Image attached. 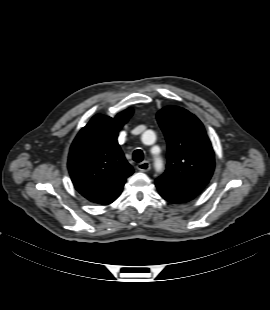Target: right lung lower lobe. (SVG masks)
<instances>
[{"mask_svg": "<svg viewBox=\"0 0 270 310\" xmlns=\"http://www.w3.org/2000/svg\"><path fill=\"white\" fill-rule=\"evenodd\" d=\"M115 199H116V198H115ZM115 199H114V200H115ZM114 200H112V201H110V202H108V203H106V204H104V205L110 204V203H112Z\"/></svg>", "mask_w": 270, "mask_h": 310, "instance_id": "obj_1", "label": "right lung lower lobe"}]
</instances>
